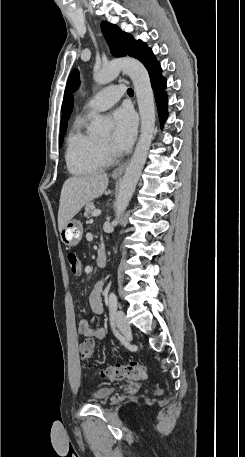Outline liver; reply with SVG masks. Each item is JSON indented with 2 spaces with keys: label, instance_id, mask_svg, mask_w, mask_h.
Listing matches in <instances>:
<instances>
[{
  "label": "liver",
  "instance_id": "obj_1",
  "mask_svg": "<svg viewBox=\"0 0 245 457\" xmlns=\"http://www.w3.org/2000/svg\"><path fill=\"white\" fill-rule=\"evenodd\" d=\"M106 172H89L84 176H70L65 180L58 210V229L62 231L68 220H71L86 202L98 198L108 186Z\"/></svg>",
  "mask_w": 245,
  "mask_h": 457
}]
</instances>
